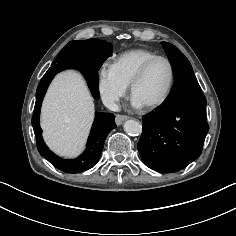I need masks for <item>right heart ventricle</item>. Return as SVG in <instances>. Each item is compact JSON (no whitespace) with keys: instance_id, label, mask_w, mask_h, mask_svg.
I'll use <instances>...</instances> for the list:
<instances>
[{"instance_id":"1","label":"right heart ventricle","mask_w":236,"mask_h":236,"mask_svg":"<svg viewBox=\"0 0 236 236\" xmlns=\"http://www.w3.org/2000/svg\"><path fill=\"white\" fill-rule=\"evenodd\" d=\"M155 56V52L145 48L131 49L118 54L112 66L122 82L129 86L141 66Z\"/></svg>"}]
</instances>
